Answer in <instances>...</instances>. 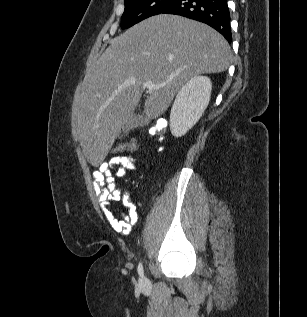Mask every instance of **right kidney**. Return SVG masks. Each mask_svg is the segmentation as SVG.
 <instances>
[{
  "mask_svg": "<svg viewBox=\"0 0 307 317\" xmlns=\"http://www.w3.org/2000/svg\"><path fill=\"white\" fill-rule=\"evenodd\" d=\"M211 90V80L206 76H195L182 86L170 113L173 136L185 135L198 122L209 104Z\"/></svg>",
  "mask_w": 307,
  "mask_h": 317,
  "instance_id": "obj_1",
  "label": "right kidney"
}]
</instances>
